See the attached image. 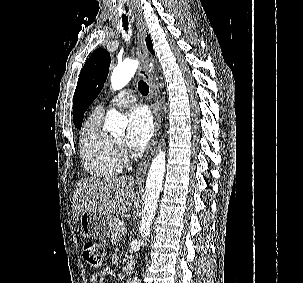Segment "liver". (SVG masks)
Masks as SVG:
<instances>
[{"mask_svg":"<svg viewBox=\"0 0 303 283\" xmlns=\"http://www.w3.org/2000/svg\"><path fill=\"white\" fill-rule=\"evenodd\" d=\"M134 180L128 176L118 178H86L74 190L73 214L77 222L83 212L124 214L133 202Z\"/></svg>","mask_w":303,"mask_h":283,"instance_id":"liver-1","label":"liver"}]
</instances>
